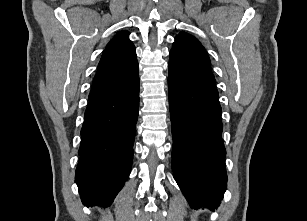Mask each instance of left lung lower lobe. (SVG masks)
Wrapping results in <instances>:
<instances>
[{"instance_id": "left-lung-lower-lobe-1", "label": "left lung lower lobe", "mask_w": 307, "mask_h": 221, "mask_svg": "<svg viewBox=\"0 0 307 221\" xmlns=\"http://www.w3.org/2000/svg\"><path fill=\"white\" fill-rule=\"evenodd\" d=\"M168 92L174 178L192 208H217L227 174L215 82L170 53Z\"/></svg>"}]
</instances>
